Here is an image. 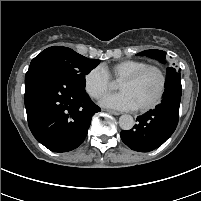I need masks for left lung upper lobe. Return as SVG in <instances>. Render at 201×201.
Returning <instances> with one entry per match:
<instances>
[{"label": "left lung upper lobe", "mask_w": 201, "mask_h": 201, "mask_svg": "<svg viewBox=\"0 0 201 201\" xmlns=\"http://www.w3.org/2000/svg\"><path fill=\"white\" fill-rule=\"evenodd\" d=\"M137 55L148 56L151 58H155L162 63H166V61H165L166 52H164L162 50H146V51H143ZM173 78L181 79L180 69L177 70L173 67L167 68L165 85L168 84L169 81L172 80Z\"/></svg>", "instance_id": "1"}]
</instances>
